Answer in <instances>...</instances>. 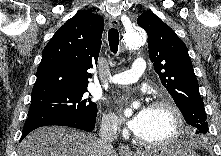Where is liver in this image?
<instances>
[{"label": "liver", "mask_w": 221, "mask_h": 156, "mask_svg": "<svg viewBox=\"0 0 221 156\" xmlns=\"http://www.w3.org/2000/svg\"><path fill=\"white\" fill-rule=\"evenodd\" d=\"M19 156H117L102 152L97 138L66 127H44L28 134L20 143Z\"/></svg>", "instance_id": "6515ba94"}]
</instances>
